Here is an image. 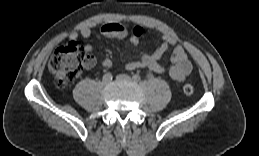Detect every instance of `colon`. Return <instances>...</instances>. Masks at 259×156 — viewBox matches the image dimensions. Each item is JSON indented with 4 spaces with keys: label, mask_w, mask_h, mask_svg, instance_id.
<instances>
[{
    "label": "colon",
    "mask_w": 259,
    "mask_h": 156,
    "mask_svg": "<svg viewBox=\"0 0 259 156\" xmlns=\"http://www.w3.org/2000/svg\"><path fill=\"white\" fill-rule=\"evenodd\" d=\"M142 33L143 29L139 27L132 31V34L137 37H140ZM92 63V58L85 54L84 48L76 42H71L58 48L53 53L48 68L56 85L64 88L71 84ZM182 90L184 94L191 95L194 92V86L191 82H186L183 84Z\"/></svg>",
    "instance_id": "5ec220e1"
}]
</instances>
